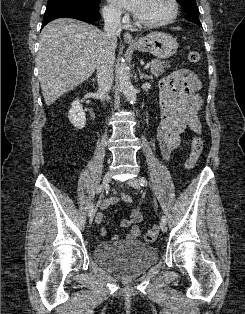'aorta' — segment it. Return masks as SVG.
<instances>
[{
    "instance_id": "aorta-1",
    "label": "aorta",
    "mask_w": 245,
    "mask_h": 314,
    "mask_svg": "<svg viewBox=\"0 0 245 314\" xmlns=\"http://www.w3.org/2000/svg\"><path fill=\"white\" fill-rule=\"evenodd\" d=\"M120 90L131 104H135L137 100L136 90L134 89L130 77L129 67L125 62H121L117 69Z\"/></svg>"
}]
</instances>
